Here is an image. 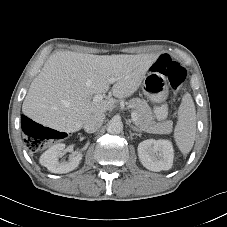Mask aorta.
<instances>
[{
    "mask_svg": "<svg viewBox=\"0 0 227 227\" xmlns=\"http://www.w3.org/2000/svg\"><path fill=\"white\" fill-rule=\"evenodd\" d=\"M123 130V123L120 119L113 118L107 123V132L113 135L120 134Z\"/></svg>",
    "mask_w": 227,
    "mask_h": 227,
    "instance_id": "1",
    "label": "aorta"
}]
</instances>
